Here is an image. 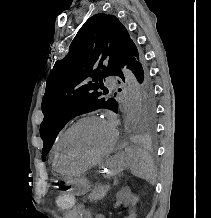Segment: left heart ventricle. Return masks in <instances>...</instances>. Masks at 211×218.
<instances>
[{
  "label": "left heart ventricle",
  "instance_id": "b2bd125f",
  "mask_svg": "<svg viewBox=\"0 0 211 218\" xmlns=\"http://www.w3.org/2000/svg\"><path fill=\"white\" fill-rule=\"evenodd\" d=\"M111 142L112 131L106 122L86 121L66 136L60 149V159L68 163H86L103 153Z\"/></svg>",
  "mask_w": 211,
  "mask_h": 218
}]
</instances>
